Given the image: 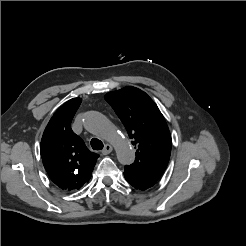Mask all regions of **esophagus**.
<instances>
[{
    "label": "esophagus",
    "instance_id": "1",
    "mask_svg": "<svg viewBox=\"0 0 246 246\" xmlns=\"http://www.w3.org/2000/svg\"><path fill=\"white\" fill-rule=\"evenodd\" d=\"M112 150H113L112 146L110 144H106L104 146V149L102 150V154L107 155V154L111 153Z\"/></svg>",
    "mask_w": 246,
    "mask_h": 246
}]
</instances>
